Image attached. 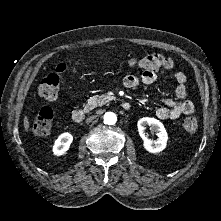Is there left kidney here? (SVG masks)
<instances>
[{
    "mask_svg": "<svg viewBox=\"0 0 221 221\" xmlns=\"http://www.w3.org/2000/svg\"><path fill=\"white\" fill-rule=\"evenodd\" d=\"M147 125L156 132V135L158 136L157 140H151L145 136L144 131ZM137 126L138 132L143 139V146L148 152L158 153L166 148L168 134L164 125L159 120L150 117H143L138 121Z\"/></svg>",
    "mask_w": 221,
    "mask_h": 221,
    "instance_id": "5707ae66",
    "label": "left kidney"
}]
</instances>
